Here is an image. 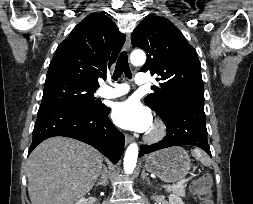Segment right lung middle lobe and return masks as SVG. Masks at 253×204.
Returning a JSON list of instances; mask_svg holds the SVG:
<instances>
[{"label": "right lung middle lobe", "mask_w": 253, "mask_h": 204, "mask_svg": "<svg viewBox=\"0 0 253 204\" xmlns=\"http://www.w3.org/2000/svg\"><path fill=\"white\" fill-rule=\"evenodd\" d=\"M96 89L72 82L45 83L40 108L63 106L96 111L102 106L93 96Z\"/></svg>", "instance_id": "1"}]
</instances>
